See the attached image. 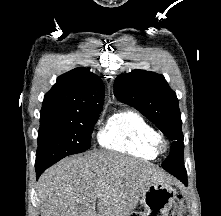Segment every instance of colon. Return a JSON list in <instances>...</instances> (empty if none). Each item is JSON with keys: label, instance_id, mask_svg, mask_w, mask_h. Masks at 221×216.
<instances>
[{"label": "colon", "instance_id": "colon-1", "mask_svg": "<svg viewBox=\"0 0 221 216\" xmlns=\"http://www.w3.org/2000/svg\"><path fill=\"white\" fill-rule=\"evenodd\" d=\"M184 210V201L182 196L179 195L169 216H183Z\"/></svg>", "mask_w": 221, "mask_h": 216}]
</instances>
